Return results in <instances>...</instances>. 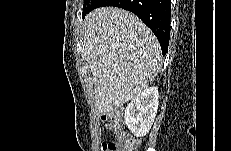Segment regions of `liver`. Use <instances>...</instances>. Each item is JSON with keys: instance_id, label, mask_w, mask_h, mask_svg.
Here are the masks:
<instances>
[{"instance_id": "1", "label": "liver", "mask_w": 231, "mask_h": 151, "mask_svg": "<svg viewBox=\"0 0 231 151\" xmlns=\"http://www.w3.org/2000/svg\"><path fill=\"white\" fill-rule=\"evenodd\" d=\"M99 115L133 100L161 70V48L134 14L117 7L91 11L82 31Z\"/></svg>"}]
</instances>
